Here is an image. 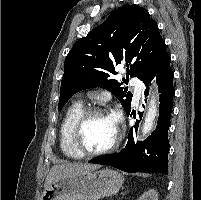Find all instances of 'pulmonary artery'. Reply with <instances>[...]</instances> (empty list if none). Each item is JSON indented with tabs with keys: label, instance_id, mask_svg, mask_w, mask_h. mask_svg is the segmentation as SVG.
Instances as JSON below:
<instances>
[{
	"label": "pulmonary artery",
	"instance_id": "obj_1",
	"mask_svg": "<svg viewBox=\"0 0 201 200\" xmlns=\"http://www.w3.org/2000/svg\"><path fill=\"white\" fill-rule=\"evenodd\" d=\"M132 83L133 85L137 88V91L135 93V99H138L141 92H140V88L143 86V84L141 83V81L138 79V77H134L132 79Z\"/></svg>",
	"mask_w": 201,
	"mask_h": 200
}]
</instances>
